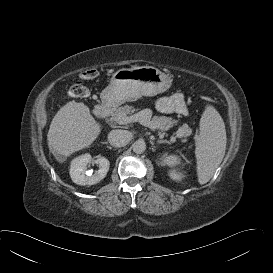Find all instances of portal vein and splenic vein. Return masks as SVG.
Returning a JSON list of instances; mask_svg holds the SVG:
<instances>
[{"label":"portal vein and splenic vein","instance_id":"18ae733b","mask_svg":"<svg viewBox=\"0 0 273 273\" xmlns=\"http://www.w3.org/2000/svg\"><path fill=\"white\" fill-rule=\"evenodd\" d=\"M124 120L127 121V123L140 122L142 125L152 128L150 120L146 118L145 111H140L129 117L125 116Z\"/></svg>","mask_w":273,"mask_h":273}]
</instances>
